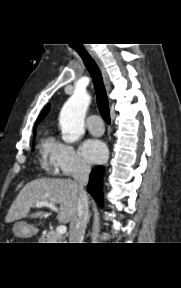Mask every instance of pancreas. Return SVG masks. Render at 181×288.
Segmentation results:
<instances>
[{
    "mask_svg": "<svg viewBox=\"0 0 181 288\" xmlns=\"http://www.w3.org/2000/svg\"><path fill=\"white\" fill-rule=\"evenodd\" d=\"M41 243H63L64 238L58 235L55 231H50L45 235H42L39 239Z\"/></svg>",
    "mask_w": 181,
    "mask_h": 288,
    "instance_id": "pancreas-1",
    "label": "pancreas"
}]
</instances>
